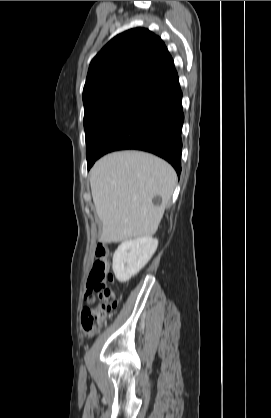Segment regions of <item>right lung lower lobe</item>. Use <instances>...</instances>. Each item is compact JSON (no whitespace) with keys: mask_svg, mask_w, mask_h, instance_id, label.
<instances>
[{"mask_svg":"<svg viewBox=\"0 0 271 418\" xmlns=\"http://www.w3.org/2000/svg\"><path fill=\"white\" fill-rule=\"evenodd\" d=\"M183 121L182 92L177 85L112 135L98 158L116 150H143L167 160L180 176Z\"/></svg>","mask_w":271,"mask_h":418,"instance_id":"right-lung-lower-lobe-1","label":"right lung lower lobe"}]
</instances>
